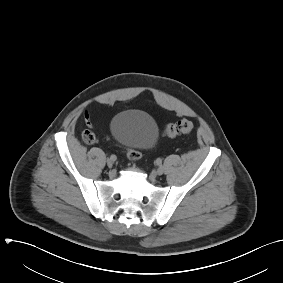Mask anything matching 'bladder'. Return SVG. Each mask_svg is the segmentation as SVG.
<instances>
[{"mask_svg": "<svg viewBox=\"0 0 283 283\" xmlns=\"http://www.w3.org/2000/svg\"><path fill=\"white\" fill-rule=\"evenodd\" d=\"M110 132L118 144L133 150L152 149L159 138V129L154 118L138 109L117 113L110 122Z\"/></svg>", "mask_w": 283, "mask_h": 283, "instance_id": "bladder-1", "label": "bladder"}]
</instances>
